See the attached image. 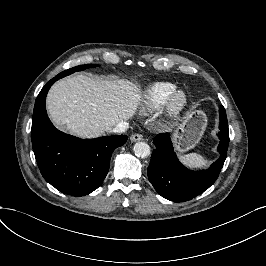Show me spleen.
I'll use <instances>...</instances> for the list:
<instances>
[{
    "label": "spleen",
    "instance_id": "1",
    "mask_svg": "<svg viewBox=\"0 0 266 266\" xmlns=\"http://www.w3.org/2000/svg\"><path fill=\"white\" fill-rule=\"evenodd\" d=\"M183 159L189 166H205L206 165V161L204 160V158L196 153H190L188 155H185Z\"/></svg>",
    "mask_w": 266,
    "mask_h": 266
}]
</instances>
